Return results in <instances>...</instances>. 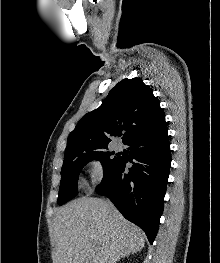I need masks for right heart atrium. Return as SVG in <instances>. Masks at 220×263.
I'll return each mask as SVG.
<instances>
[{
  "label": "right heart atrium",
  "instance_id": "d8ad5b80",
  "mask_svg": "<svg viewBox=\"0 0 220 263\" xmlns=\"http://www.w3.org/2000/svg\"><path fill=\"white\" fill-rule=\"evenodd\" d=\"M87 168L92 187L96 188L101 185L106 175L103 162L99 159H91L87 164Z\"/></svg>",
  "mask_w": 220,
  "mask_h": 263
}]
</instances>
